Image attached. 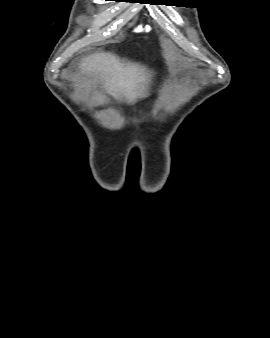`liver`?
Returning a JSON list of instances; mask_svg holds the SVG:
<instances>
[{"label": "liver", "instance_id": "liver-1", "mask_svg": "<svg viewBox=\"0 0 270 338\" xmlns=\"http://www.w3.org/2000/svg\"><path fill=\"white\" fill-rule=\"evenodd\" d=\"M82 73L100 75L110 94L125 98L127 103L149 95L151 73L145 66L99 52L85 57L79 64Z\"/></svg>", "mask_w": 270, "mask_h": 338}]
</instances>
